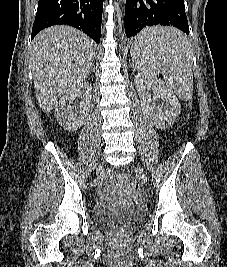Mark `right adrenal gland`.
I'll list each match as a JSON object with an SVG mask.
<instances>
[{
    "label": "right adrenal gland",
    "instance_id": "obj_1",
    "mask_svg": "<svg viewBox=\"0 0 227 267\" xmlns=\"http://www.w3.org/2000/svg\"><path fill=\"white\" fill-rule=\"evenodd\" d=\"M93 72H95V65H93L92 70L90 71V73H93Z\"/></svg>",
    "mask_w": 227,
    "mask_h": 267
}]
</instances>
